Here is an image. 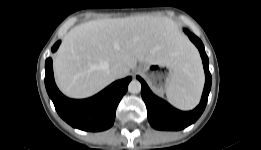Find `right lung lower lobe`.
I'll return each instance as SVG.
<instances>
[{
	"mask_svg": "<svg viewBox=\"0 0 261 150\" xmlns=\"http://www.w3.org/2000/svg\"><path fill=\"white\" fill-rule=\"evenodd\" d=\"M55 43L52 52L59 47ZM45 86L58 114L71 126L85 131H103L110 128L115 120V113L122 96L127 92L131 77L119 80L97 95L84 99L72 100L65 97L57 88L52 68V59L45 62Z\"/></svg>",
	"mask_w": 261,
	"mask_h": 150,
	"instance_id": "obj_1",
	"label": "right lung lower lobe"
}]
</instances>
